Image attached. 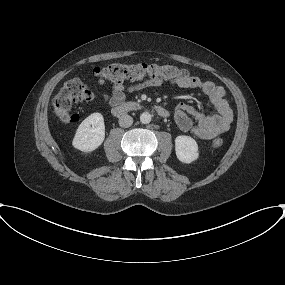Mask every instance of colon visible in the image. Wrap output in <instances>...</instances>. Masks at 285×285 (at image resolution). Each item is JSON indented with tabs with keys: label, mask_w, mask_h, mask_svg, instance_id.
Wrapping results in <instances>:
<instances>
[{
	"label": "colon",
	"mask_w": 285,
	"mask_h": 285,
	"mask_svg": "<svg viewBox=\"0 0 285 285\" xmlns=\"http://www.w3.org/2000/svg\"><path fill=\"white\" fill-rule=\"evenodd\" d=\"M94 76L100 81L123 82L125 80H162V81H180L191 77V74L185 70L170 64H121L112 63L106 67H96L93 70ZM93 98V93L88 85L79 79L67 81L61 90L54 96L52 107L57 118L62 123H75L79 116L72 112L75 103L89 101ZM224 140L216 137L212 140L213 148H220Z\"/></svg>",
	"instance_id": "5ec220e1"
}]
</instances>
